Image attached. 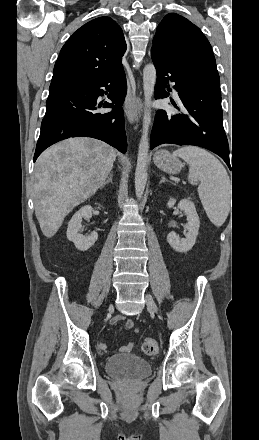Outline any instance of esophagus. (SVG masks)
<instances>
[{
	"label": "esophagus",
	"mask_w": 259,
	"mask_h": 440,
	"mask_svg": "<svg viewBox=\"0 0 259 440\" xmlns=\"http://www.w3.org/2000/svg\"><path fill=\"white\" fill-rule=\"evenodd\" d=\"M125 113L131 124H139L141 121V98L136 93L131 83L128 85V91L125 99Z\"/></svg>",
	"instance_id": "esophagus-1"
}]
</instances>
